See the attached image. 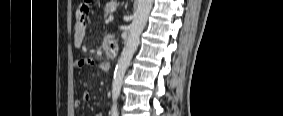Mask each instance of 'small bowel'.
<instances>
[{"instance_id": "c3829d8e", "label": "small bowel", "mask_w": 283, "mask_h": 116, "mask_svg": "<svg viewBox=\"0 0 283 116\" xmlns=\"http://www.w3.org/2000/svg\"><path fill=\"white\" fill-rule=\"evenodd\" d=\"M87 13V8L85 6H80L76 10V21L74 24V33H73V42L76 47H81L83 45L85 35H86V27L84 23V19ZM94 61L92 58H82L81 60H78L75 63L76 68H82L86 65L93 64ZM92 99V94L90 91H84L82 93L81 100L84 102H88ZM80 105V101L77 100L75 102V106L78 107ZM97 116H102L101 113H99Z\"/></svg>"}]
</instances>
